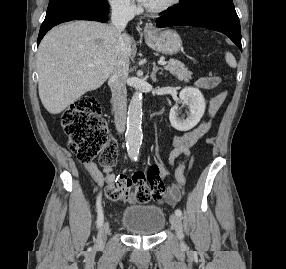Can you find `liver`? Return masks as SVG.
Instances as JSON below:
<instances>
[{
	"label": "liver",
	"instance_id": "obj_1",
	"mask_svg": "<svg viewBox=\"0 0 286 269\" xmlns=\"http://www.w3.org/2000/svg\"><path fill=\"white\" fill-rule=\"evenodd\" d=\"M124 35L129 58L133 39ZM117 43L113 25L93 21H74L49 31L37 52L38 90L45 109L59 114L99 88L113 73Z\"/></svg>",
	"mask_w": 286,
	"mask_h": 269
}]
</instances>
